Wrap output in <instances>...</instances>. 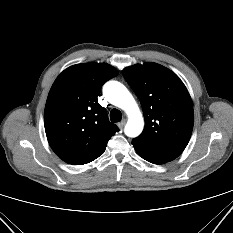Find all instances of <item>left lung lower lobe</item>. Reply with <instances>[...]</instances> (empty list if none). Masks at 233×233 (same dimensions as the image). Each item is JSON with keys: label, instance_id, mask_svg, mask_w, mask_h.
<instances>
[{"label": "left lung lower lobe", "instance_id": "1", "mask_svg": "<svg viewBox=\"0 0 233 233\" xmlns=\"http://www.w3.org/2000/svg\"><path fill=\"white\" fill-rule=\"evenodd\" d=\"M136 152L145 160L154 164H163L177 158L184 150L181 147H165L138 142L133 139Z\"/></svg>", "mask_w": 233, "mask_h": 233}]
</instances>
